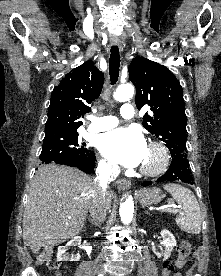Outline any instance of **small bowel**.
I'll list each match as a JSON object with an SVG mask.
<instances>
[{"label":"small bowel","instance_id":"obj_1","mask_svg":"<svg viewBox=\"0 0 221 276\" xmlns=\"http://www.w3.org/2000/svg\"><path fill=\"white\" fill-rule=\"evenodd\" d=\"M173 276H182V275H181V273L176 272V273L173 274Z\"/></svg>","mask_w":221,"mask_h":276}]
</instances>
